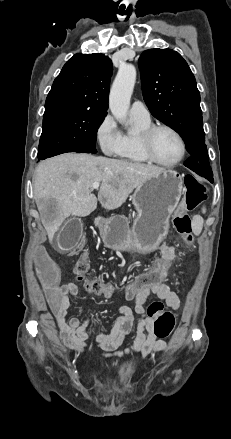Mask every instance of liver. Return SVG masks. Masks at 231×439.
Listing matches in <instances>:
<instances>
[{
  "label": "liver",
  "instance_id": "obj_1",
  "mask_svg": "<svg viewBox=\"0 0 231 439\" xmlns=\"http://www.w3.org/2000/svg\"><path fill=\"white\" fill-rule=\"evenodd\" d=\"M164 168L90 154L65 153L42 161L36 168L34 197L51 243L70 215L86 217L99 200L106 210L119 208L135 188ZM101 187L98 199L92 184Z\"/></svg>",
  "mask_w": 231,
  "mask_h": 439
}]
</instances>
